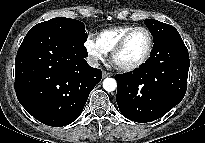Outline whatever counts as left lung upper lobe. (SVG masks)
<instances>
[{"label": "left lung upper lobe", "mask_w": 205, "mask_h": 143, "mask_svg": "<svg viewBox=\"0 0 205 143\" xmlns=\"http://www.w3.org/2000/svg\"><path fill=\"white\" fill-rule=\"evenodd\" d=\"M145 24L153 36L154 43L177 31L173 26L154 19H146Z\"/></svg>", "instance_id": "5c2ea615"}]
</instances>
